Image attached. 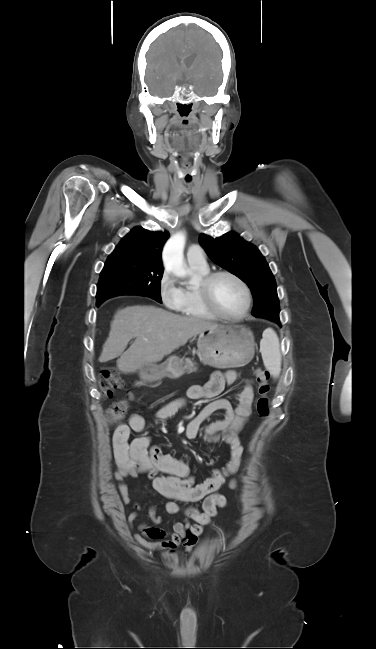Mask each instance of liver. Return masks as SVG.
<instances>
[{
  "label": "liver",
  "mask_w": 376,
  "mask_h": 649,
  "mask_svg": "<svg viewBox=\"0 0 376 649\" xmlns=\"http://www.w3.org/2000/svg\"><path fill=\"white\" fill-rule=\"evenodd\" d=\"M217 327V323L176 315L156 306L125 307L114 315L99 361L120 357L119 371L133 373L160 362L200 332ZM132 338L136 340L125 351Z\"/></svg>",
  "instance_id": "obj_1"
}]
</instances>
